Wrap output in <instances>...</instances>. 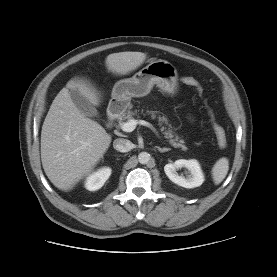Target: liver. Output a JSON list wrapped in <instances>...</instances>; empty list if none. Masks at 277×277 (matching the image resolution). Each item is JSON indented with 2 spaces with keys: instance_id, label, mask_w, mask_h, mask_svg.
I'll list each match as a JSON object with an SVG mask.
<instances>
[{
  "instance_id": "obj_1",
  "label": "liver",
  "mask_w": 277,
  "mask_h": 277,
  "mask_svg": "<svg viewBox=\"0 0 277 277\" xmlns=\"http://www.w3.org/2000/svg\"><path fill=\"white\" fill-rule=\"evenodd\" d=\"M146 60L142 52H119L106 57L112 73L125 75ZM69 89L78 90L91 104L99 105L96 90L83 80L72 79L53 100L41 131V161L51 183L70 190L89 175L110 146L111 135L86 117L73 103Z\"/></svg>"
}]
</instances>
